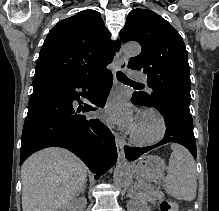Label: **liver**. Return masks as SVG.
Returning a JSON list of instances; mask_svg holds the SVG:
<instances>
[{"mask_svg":"<svg viewBox=\"0 0 219 211\" xmlns=\"http://www.w3.org/2000/svg\"><path fill=\"white\" fill-rule=\"evenodd\" d=\"M87 167L63 147H46L21 167L23 211H58L84 187Z\"/></svg>","mask_w":219,"mask_h":211,"instance_id":"1","label":"liver"}]
</instances>
